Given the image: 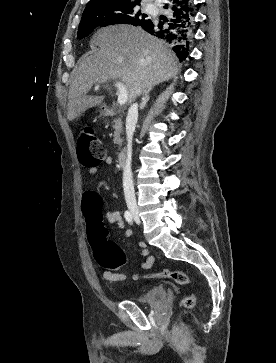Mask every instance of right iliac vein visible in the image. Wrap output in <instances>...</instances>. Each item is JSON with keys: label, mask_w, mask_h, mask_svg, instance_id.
<instances>
[{"label": "right iliac vein", "mask_w": 276, "mask_h": 363, "mask_svg": "<svg viewBox=\"0 0 276 363\" xmlns=\"http://www.w3.org/2000/svg\"><path fill=\"white\" fill-rule=\"evenodd\" d=\"M129 211H130L131 215L133 216L135 222L137 224H139L140 223V218H139V212H138L137 207L134 206V205H130L129 206Z\"/></svg>", "instance_id": "1"}]
</instances>
